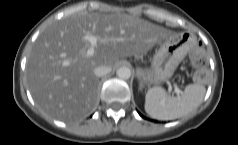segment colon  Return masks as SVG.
Returning <instances> with one entry per match:
<instances>
[{
  "label": "colon",
  "mask_w": 238,
  "mask_h": 145,
  "mask_svg": "<svg viewBox=\"0 0 238 145\" xmlns=\"http://www.w3.org/2000/svg\"><path fill=\"white\" fill-rule=\"evenodd\" d=\"M191 61L196 67L195 80L197 82H204L207 78L206 64V52L203 43L199 42L195 51L191 56Z\"/></svg>",
  "instance_id": "obj_1"
}]
</instances>
